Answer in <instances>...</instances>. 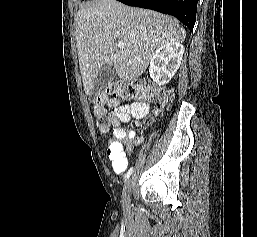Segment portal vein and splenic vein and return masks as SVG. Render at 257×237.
<instances>
[{
  "instance_id": "1",
  "label": "portal vein and splenic vein",
  "mask_w": 257,
  "mask_h": 237,
  "mask_svg": "<svg viewBox=\"0 0 257 237\" xmlns=\"http://www.w3.org/2000/svg\"><path fill=\"white\" fill-rule=\"evenodd\" d=\"M117 46L118 48L122 49L124 47V43L119 41Z\"/></svg>"
}]
</instances>
